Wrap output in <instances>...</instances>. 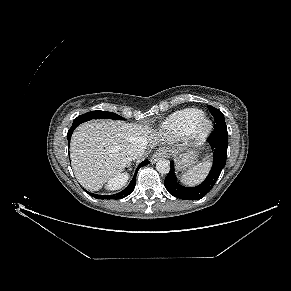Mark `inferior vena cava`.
<instances>
[{
	"mask_svg": "<svg viewBox=\"0 0 291 291\" xmlns=\"http://www.w3.org/2000/svg\"><path fill=\"white\" fill-rule=\"evenodd\" d=\"M146 149L145 143H140L138 145H132L128 150V155L131 159H137L143 156Z\"/></svg>",
	"mask_w": 291,
	"mask_h": 291,
	"instance_id": "obj_1",
	"label": "inferior vena cava"
}]
</instances>
